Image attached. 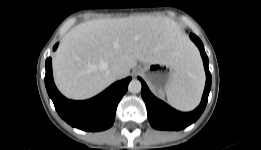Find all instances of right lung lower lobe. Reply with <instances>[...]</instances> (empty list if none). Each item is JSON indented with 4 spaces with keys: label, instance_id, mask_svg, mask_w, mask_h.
I'll use <instances>...</instances> for the list:
<instances>
[{
    "label": "right lung lower lobe",
    "instance_id": "right-lung-lower-lobe-1",
    "mask_svg": "<svg viewBox=\"0 0 261 150\" xmlns=\"http://www.w3.org/2000/svg\"><path fill=\"white\" fill-rule=\"evenodd\" d=\"M57 44L54 46V50ZM45 85L58 114L71 126L85 131H102L110 128L115 119L116 108L126 93L131 77L111 85L98 96L86 101H71L57 90L52 75V60H46Z\"/></svg>",
    "mask_w": 261,
    "mask_h": 150
}]
</instances>
